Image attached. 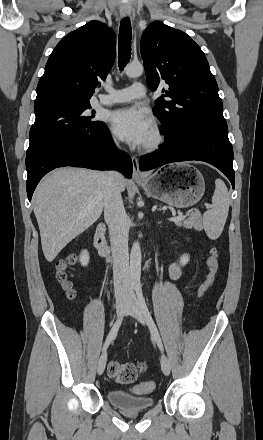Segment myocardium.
Instances as JSON below:
<instances>
[{
  "instance_id": "myocardium-1",
  "label": "myocardium",
  "mask_w": 263,
  "mask_h": 440,
  "mask_svg": "<svg viewBox=\"0 0 263 440\" xmlns=\"http://www.w3.org/2000/svg\"><path fill=\"white\" fill-rule=\"evenodd\" d=\"M151 133V139L148 142L141 144L140 150L144 152H153L164 144L166 137L157 123H152Z\"/></svg>"
}]
</instances>
